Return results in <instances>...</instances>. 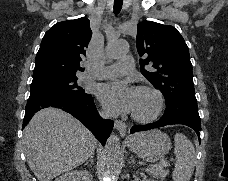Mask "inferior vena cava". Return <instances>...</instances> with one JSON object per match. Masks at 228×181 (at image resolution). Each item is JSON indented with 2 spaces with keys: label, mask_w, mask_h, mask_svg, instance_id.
Here are the masks:
<instances>
[{
  "label": "inferior vena cava",
  "mask_w": 228,
  "mask_h": 181,
  "mask_svg": "<svg viewBox=\"0 0 228 181\" xmlns=\"http://www.w3.org/2000/svg\"><path fill=\"white\" fill-rule=\"evenodd\" d=\"M101 117H104V119H108L109 115L107 113H100Z\"/></svg>",
  "instance_id": "602c4592"
}]
</instances>
